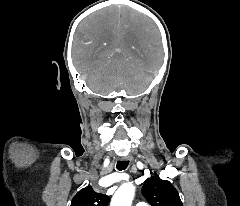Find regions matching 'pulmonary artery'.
Listing matches in <instances>:
<instances>
[{"mask_svg":"<svg viewBox=\"0 0 240 206\" xmlns=\"http://www.w3.org/2000/svg\"><path fill=\"white\" fill-rule=\"evenodd\" d=\"M136 206H149V205L145 202H138Z\"/></svg>","mask_w":240,"mask_h":206,"instance_id":"pulmonary-artery-1","label":"pulmonary artery"}]
</instances>
